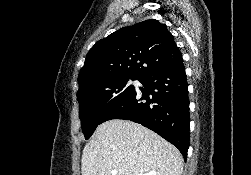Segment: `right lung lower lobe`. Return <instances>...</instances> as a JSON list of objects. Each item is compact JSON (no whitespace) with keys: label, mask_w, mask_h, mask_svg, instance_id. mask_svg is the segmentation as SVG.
<instances>
[{"label":"right lung lower lobe","mask_w":251,"mask_h":175,"mask_svg":"<svg viewBox=\"0 0 251 175\" xmlns=\"http://www.w3.org/2000/svg\"><path fill=\"white\" fill-rule=\"evenodd\" d=\"M139 81L144 88L134 89L106 112L102 123L111 119L140 123L177 147L186 160L190 113L183 60L152 71Z\"/></svg>","instance_id":"98d812e1"}]
</instances>
